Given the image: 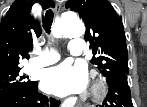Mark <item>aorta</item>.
<instances>
[{
  "instance_id": "762f6f07",
  "label": "aorta",
  "mask_w": 147,
  "mask_h": 107,
  "mask_svg": "<svg viewBox=\"0 0 147 107\" xmlns=\"http://www.w3.org/2000/svg\"><path fill=\"white\" fill-rule=\"evenodd\" d=\"M60 32L65 38L80 37L85 33V26L78 18L70 17L62 22Z\"/></svg>"
}]
</instances>
